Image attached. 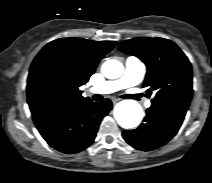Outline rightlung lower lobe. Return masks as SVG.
<instances>
[{
	"label": "right lung lower lobe",
	"instance_id": "right-lung-lower-lobe-1",
	"mask_svg": "<svg viewBox=\"0 0 212 183\" xmlns=\"http://www.w3.org/2000/svg\"><path fill=\"white\" fill-rule=\"evenodd\" d=\"M112 108L109 99L81 105H57L33 116L34 123L46 140L56 150L78 153L92 144L102 119Z\"/></svg>",
	"mask_w": 212,
	"mask_h": 183
}]
</instances>
